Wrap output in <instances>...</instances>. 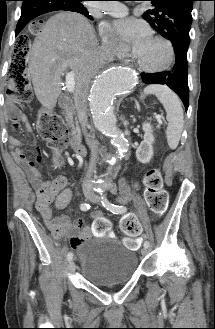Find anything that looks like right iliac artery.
I'll list each match as a JSON object with an SVG mask.
<instances>
[{"mask_svg": "<svg viewBox=\"0 0 215 329\" xmlns=\"http://www.w3.org/2000/svg\"><path fill=\"white\" fill-rule=\"evenodd\" d=\"M80 209H81L82 211H87V210L90 209V205L87 204V203H82V204L80 205ZM72 258H73V253L69 252L68 255H67V260L70 261V260H72Z\"/></svg>", "mask_w": 215, "mask_h": 329, "instance_id": "82829eb1", "label": "right iliac artery"}]
</instances>
